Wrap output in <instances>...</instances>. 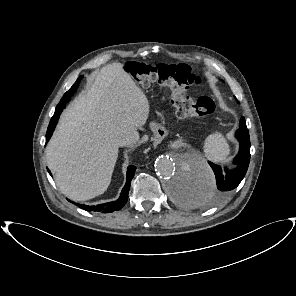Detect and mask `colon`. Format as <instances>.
Here are the masks:
<instances>
[{
    "label": "colon",
    "instance_id": "obj_1",
    "mask_svg": "<svg viewBox=\"0 0 296 296\" xmlns=\"http://www.w3.org/2000/svg\"><path fill=\"white\" fill-rule=\"evenodd\" d=\"M128 73L141 86L159 84L171 90L172 103L179 118L205 117L215 111L213 100L206 96L190 97L188 89L199 85L201 78L185 64L151 65L130 61L125 65Z\"/></svg>",
    "mask_w": 296,
    "mask_h": 296
}]
</instances>
